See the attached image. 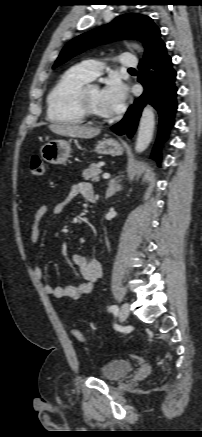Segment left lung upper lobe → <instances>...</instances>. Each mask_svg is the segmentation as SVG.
I'll list each match as a JSON object with an SVG mask.
<instances>
[{
    "instance_id": "5c2ea615",
    "label": "left lung upper lobe",
    "mask_w": 202,
    "mask_h": 437,
    "mask_svg": "<svg viewBox=\"0 0 202 437\" xmlns=\"http://www.w3.org/2000/svg\"><path fill=\"white\" fill-rule=\"evenodd\" d=\"M136 39L145 47L143 60L164 42L160 38V29L148 16L129 13L115 18L111 23L84 33L68 42L53 68L63 64L73 56L97 45L122 40ZM142 61V60H141Z\"/></svg>"
}]
</instances>
